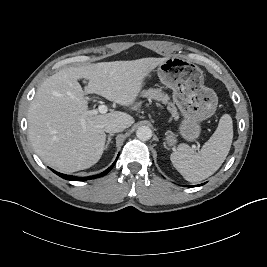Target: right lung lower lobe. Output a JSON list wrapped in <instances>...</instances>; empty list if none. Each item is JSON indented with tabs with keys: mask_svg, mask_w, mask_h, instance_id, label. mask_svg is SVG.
Masks as SVG:
<instances>
[{
	"mask_svg": "<svg viewBox=\"0 0 267 267\" xmlns=\"http://www.w3.org/2000/svg\"><path fill=\"white\" fill-rule=\"evenodd\" d=\"M116 161H117V159H116ZM116 161L108 169H106L104 172H102L101 174L94 175V176H89V177H76V176H71V175H65V174L56 172V171H54L52 169L51 170L55 174H57L58 176H60L61 178H64V179L71 180V181H84V180L94 179V178H98V177L106 175L113 168V166L115 165Z\"/></svg>",
	"mask_w": 267,
	"mask_h": 267,
	"instance_id": "obj_1",
	"label": "right lung lower lobe"
}]
</instances>
